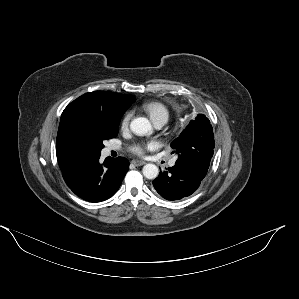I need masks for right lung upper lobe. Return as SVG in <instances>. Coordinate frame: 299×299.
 Returning <instances> with one entry per match:
<instances>
[{
    "mask_svg": "<svg viewBox=\"0 0 299 299\" xmlns=\"http://www.w3.org/2000/svg\"><path fill=\"white\" fill-rule=\"evenodd\" d=\"M134 101L132 95L114 92H88L71 102L63 111L56 139V155L62 171L75 165L87 155L93 154L75 133V121L84 113H94L107 120L121 118Z\"/></svg>",
    "mask_w": 299,
    "mask_h": 299,
    "instance_id": "cb5924a9",
    "label": "right lung upper lobe"
}]
</instances>
